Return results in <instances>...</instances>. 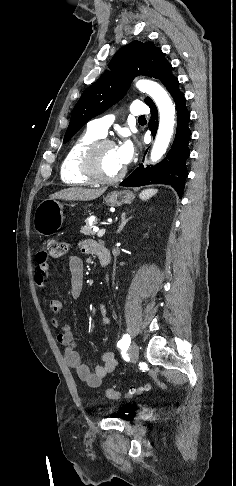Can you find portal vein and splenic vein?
<instances>
[{
	"label": "portal vein and splenic vein",
	"mask_w": 236,
	"mask_h": 486,
	"mask_svg": "<svg viewBox=\"0 0 236 486\" xmlns=\"http://www.w3.org/2000/svg\"><path fill=\"white\" fill-rule=\"evenodd\" d=\"M95 231L97 232V236L98 237H103V235L105 234V231L106 230L105 229H100V230L99 229H96Z\"/></svg>",
	"instance_id": "1"
}]
</instances>
